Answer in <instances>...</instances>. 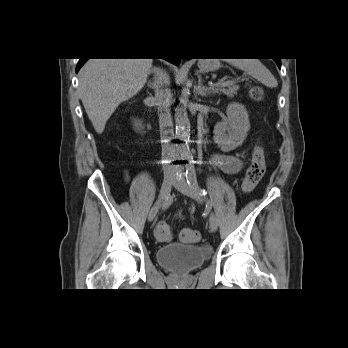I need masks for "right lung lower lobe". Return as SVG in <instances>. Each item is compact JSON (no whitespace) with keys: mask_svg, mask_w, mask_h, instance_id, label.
I'll list each match as a JSON object with an SVG mask.
<instances>
[{"mask_svg":"<svg viewBox=\"0 0 348 348\" xmlns=\"http://www.w3.org/2000/svg\"><path fill=\"white\" fill-rule=\"evenodd\" d=\"M88 59H82L80 58L79 59V62L77 64V67H76V73L80 70V68L85 64V62L87 61ZM167 61L175 64V65H179L180 63V59L179 58H175V59H166Z\"/></svg>","mask_w":348,"mask_h":348,"instance_id":"98d812e1","label":"right lung lower lobe"}]
</instances>
